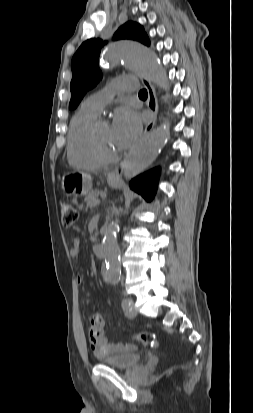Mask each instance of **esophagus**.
Instances as JSON below:
<instances>
[{"instance_id":"34e87169","label":"esophagus","mask_w":253,"mask_h":413,"mask_svg":"<svg viewBox=\"0 0 253 413\" xmlns=\"http://www.w3.org/2000/svg\"><path fill=\"white\" fill-rule=\"evenodd\" d=\"M140 79H141V82L144 85V87L146 88L147 93H148L147 107L149 109L150 119H149V121L146 124L145 129H144V134H146L147 132L152 130L153 127L156 124L158 110H159V104H158V99H157V96H156V91H155V88L152 85V83L144 77H141ZM131 152H132V150H130L129 154H131ZM127 161H128V158H126L119 166H117L109 174V177L113 178V179H119L121 177V174L123 173L124 165L126 164Z\"/></svg>"}]
</instances>
